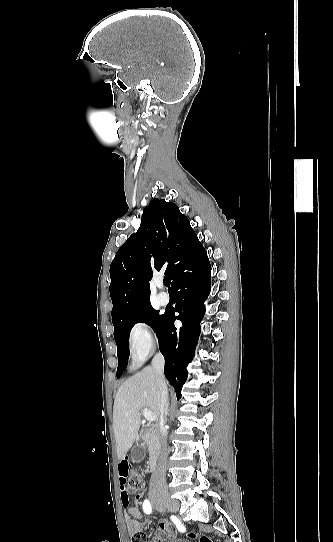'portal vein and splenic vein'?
Returning <instances> with one entry per match:
<instances>
[{
	"instance_id": "portal-vein-and-splenic-vein-1",
	"label": "portal vein and splenic vein",
	"mask_w": 333,
	"mask_h": 542,
	"mask_svg": "<svg viewBox=\"0 0 333 542\" xmlns=\"http://www.w3.org/2000/svg\"><path fill=\"white\" fill-rule=\"evenodd\" d=\"M143 416L147 422H155L156 416L149 408H143Z\"/></svg>"
}]
</instances>
